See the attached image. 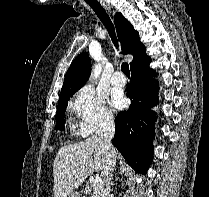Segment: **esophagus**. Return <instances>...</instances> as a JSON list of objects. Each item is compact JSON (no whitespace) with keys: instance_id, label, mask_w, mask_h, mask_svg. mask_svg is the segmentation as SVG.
I'll return each instance as SVG.
<instances>
[{"instance_id":"esophagus-1","label":"esophagus","mask_w":209,"mask_h":197,"mask_svg":"<svg viewBox=\"0 0 209 197\" xmlns=\"http://www.w3.org/2000/svg\"><path fill=\"white\" fill-rule=\"evenodd\" d=\"M100 1L102 2L103 6H104L105 8H107L108 10H111V7H110L109 4H107L106 2H103V0H100Z\"/></svg>"}]
</instances>
